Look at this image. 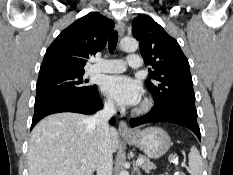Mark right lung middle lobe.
<instances>
[{
  "instance_id": "1",
  "label": "right lung middle lobe",
  "mask_w": 233,
  "mask_h": 175,
  "mask_svg": "<svg viewBox=\"0 0 233 175\" xmlns=\"http://www.w3.org/2000/svg\"><path fill=\"white\" fill-rule=\"evenodd\" d=\"M83 72L56 74L38 78L36 99L53 95H85L93 92L96 85H87Z\"/></svg>"
}]
</instances>
